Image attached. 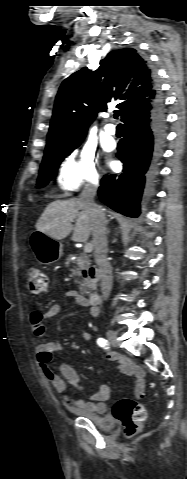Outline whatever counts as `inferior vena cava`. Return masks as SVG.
Returning a JSON list of instances; mask_svg holds the SVG:
<instances>
[{
	"label": "inferior vena cava",
	"instance_id": "1",
	"mask_svg": "<svg viewBox=\"0 0 187 479\" xmlns=\"http://www.w3.org/2000/svg\"><path fill=\"white\" fill-rule=\"evenodd\" d=\"M97 183H88L81 195L80 201L89 214L91 220V231L93 236V245L95 260L99 269L101 278L102 298L106 300L112 289V267L107 259L108 244L106 237V216L104 209L95 203Z\"/></svg>",
	"mask_w": 187,
	"mask_h": 479
}]
</instances>
